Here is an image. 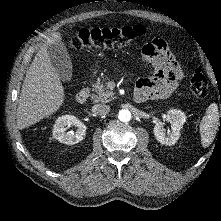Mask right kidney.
Segmentation results:
<instances>
[{"label": "right kidney", "instance_id": "right-kidney-1", "mask_svg": "<svg viewBox=\"0 0 221 221\" xmlns=\"http://www.w3.org/2000/svg\"><path fill=\"white\" fill-rule=\"evenodd\" d=\"M71 125H75L77 130L66 132V129ZM87 127L81 121H79L75 116L64 115L58 117L53 126V137L59 142L73 145L81 140H83Z\"/></svg>", "mask_w": 221, "mask_h": 221}]
</instances>
